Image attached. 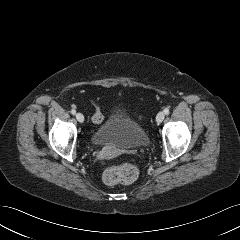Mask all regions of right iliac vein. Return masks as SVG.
Here are the masks:
<instances>
[{"label":"right iliac vein","instance_id":"right-iliac-vein-1","mask_svg":"<svg viewBox=\"0 0 240 240\" xmlns=\"http://www.w3.org/2000/svg\"><path fill=\"white\" fill-rule=\"evenodd\" d=\"M76 119L78 122L83 123L84 122V116L82 113H77L76 114Z\"/></svg>","mask_w":240,"mask_h":240}]
</instances>
